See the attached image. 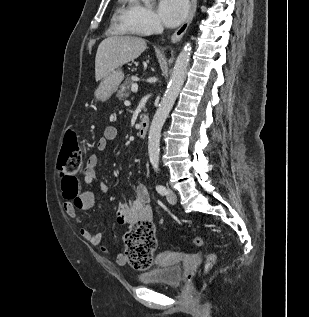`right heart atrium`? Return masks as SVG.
I'll return each mask as SVG.
<instances>
[{
    "label": "right heart atrium",
    "instance_id": "d8ad5b80",
    "mask_svg": "<svg viewBox=\"0 0 309 317\" xmlns=\"http://www.w3.org/2000/svg\"><path fill=\"white\" fill-rule=\"evenodd\" d=\"M125 22L133 31L139 34H148L160 28L159 19L154 11L138 0H130Z\"/></svg>",
    "mask_w": 309,
    "mask_h": 317
}]
</instances>
